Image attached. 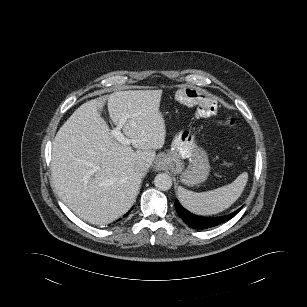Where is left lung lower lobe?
Returning <instances> with one entry per match:
<instances>
[{"label": "left lung lower lobe", "instance_id": "0a47b994", "mask_svg": "<svg viewBox=\"0 0 307 307\" xmlns=\"http://www.w3.org/2000/svg\"><path fill=\"white\" fill-rule=\"evenodd\" d=\"M175 208L177 210V214L179 215L180 218L190 227L194 229H207L211 227H215L223 222H226L233 218L240 210H236L232 214L226 215V216H221V217H201L194 215L187 210H185L179 202L176 200L175 201Z\"/></svg>", "mask_w": 307, "mask_h": 307}]
</instances>
